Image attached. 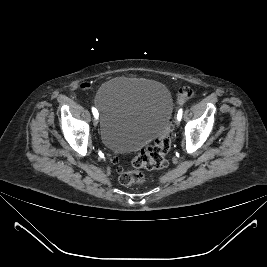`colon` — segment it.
<instances>
[{
	"label": "colon",
	"mask_w": 267,
	"mask_h": 267,
	"mask_svg": "<svg viewBox=\"0 0 267 267\" xmlns=\"http://www.w3.org/2000/svg\"><path fill=\"white\" fill-rule=\"evenodd\" d=\"M193 91L189 87L180 88L178 91V102L185 103L192 98ZM171 127L168 125L164 132L151 144L138 152L132 159L133 169L125 170L120 168L119 181L122 185L131 186L145 181L142 169H161L167 164V154L171 148L170 138Z\"/></svg>",
	"instance_id": "obj_1"
}]
</instances>
